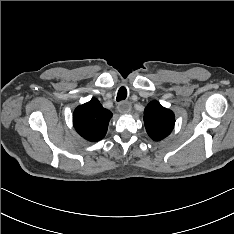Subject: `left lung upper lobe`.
Instances as JSON below:
<instances>
[{
    "instance_id": "1",
    "label": "left lung upper lobe",
    "mask_w": 234,
    "mask_h": 234,
    "mask_svg": "<svg viewBox=\"0 0 234 234\" xmlns=\"http://www.w3.org/2000/svg\"><path fill=\"white\" fill-rule=\"evenodd\" d=\"M144 123L148 135L155 141L167 137L174 128V113L159 102H150L144 111Z\"/></svg>"
}]
</instances>
